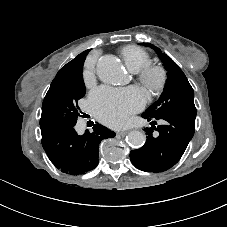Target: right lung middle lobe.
Returning <instances> with one entry per match:
<instances>
[{
    "mask_svg": "<svg viewBox=\"0 0 227 227\" xmlns=\"http://www.w3.org/2000/svg\"><path fill=\"white\" fill-rule=\"evenodd\" d=\"M83 64L75 73L55 77L44 98L40 119L41 134L57 126L75 125L78 116V100L85 95L82 78Z\"/></svg>",
    "mask_w": 227,
    "mask_h": 227,
    "instance_id": "right-lung-middle-lobe-1",
    "label": "right lung middle lobe"
}]
</instances>
